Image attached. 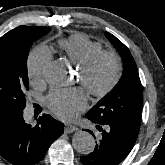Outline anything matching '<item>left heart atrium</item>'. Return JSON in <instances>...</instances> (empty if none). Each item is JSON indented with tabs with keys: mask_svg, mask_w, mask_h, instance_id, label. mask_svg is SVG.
<instances>
[{
	"mask_svg": "<svg viewBox=\"0 0 165 165\" xmlns=\"http://www.w3.org/2000/svg\"><path fill=\"white\" fill-rule=\"evenodd\" d=\"M48 107L62 119H72L86 106V94L79 89L53 90L47 97Z\"/></svg>",
	"mask_w": 165,
	"mask_h": 165,
	"instance_id": "obj_1",
	"label": "left heart atrium"
}]
</instances>
